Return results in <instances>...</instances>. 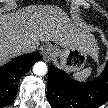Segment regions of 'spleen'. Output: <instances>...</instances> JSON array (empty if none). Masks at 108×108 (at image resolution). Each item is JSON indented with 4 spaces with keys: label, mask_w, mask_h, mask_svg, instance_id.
I'll return each instance as SVG.
<instances>
[{
    "label": "spleen",
    "mask_w": 108,
    "mask_h": 108,
    "mask_svg": "<svg viewBox=\"0 0 108 108\" xmlns=\"http://www.w3.org/2000/svg\"><path fill=\"white\" fill-rule=\"evenodd\" d=\"M91 75V68H86L81 72L73 74V77L78 81H85Z\"/></svg>",
    "instance_id": "1"
}]
</instances>
